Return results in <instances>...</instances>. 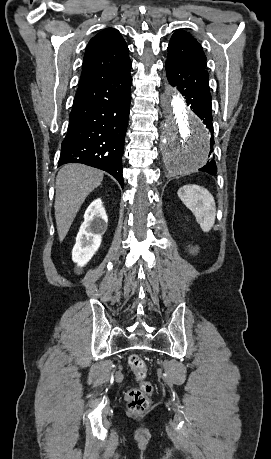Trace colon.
I'll return each mask as SVG.
<instances>
[{
    "label": "colon",
    "instance_id": "colon-1",
    "mask_svg": "<svg viewBox=\"0 0 271 459\" xmlns=\"http://www.w3.org/2000/svg\"><path fill=\"white\" fill-rule=\"evenodd\" d=\"M128 364L135 378L138 380L139 386L127 391L126 401L132 412L141 413L150 405V396L153 392V386L147 381V366L139 355H130Z\"/></svg>",
    "mask_w": 271,
    "mask_h": 459
}]
</instances>
